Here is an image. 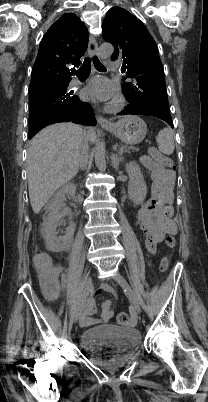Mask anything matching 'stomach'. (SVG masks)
I'll list each match as a JSON object with an SVG mask.
<instances>
[{"mask_svg":"<svg viewBox=\"0 0 208 402\" xmlns=\"http://www.w3.org/2000/svg\"><path fill=\"white\" fill-rule=\"evenodd\" d=\"M106 130L114 134L126 146L140 144L147 134V126L144 120L137 118V116H122L117 124H112Z\"/></svg>","mask_w":208,"mask_h":402,"instance_id":"1","label":"stomach"}]
</instances>
